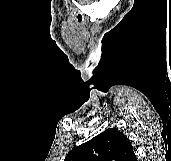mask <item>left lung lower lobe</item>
<instances>
[{
  "mask_svg": "<svg viewBox=\"0 0 171 161\" xmlns=\"http://www.w3.org/2000/svg\"><path fill=\"white\" fill-rule=\"evenodd\" d=\"M131 161H137L136 155L132 158Z\"/></svg>",
  "mask_w": 171,
  "mask_h": 161,
  "instance_id": "left-lung-lower-lobe-1",
  "label": "left lung lower lobe"
}]
</instances>
